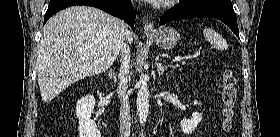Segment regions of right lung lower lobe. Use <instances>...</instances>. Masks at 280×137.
Returning <instances> with one entry per match:
<instances>
[{"label": "right lung lower lobe", "mask_w": 280, "mask_h": 137, "mask_svg": "<svg viewBox=\"0 0 280 137\" xmlns=\"http://www.w3.org/2000/svg\"><path fill=\"white\" fill-rule=\"evenodd\" d=\"M73 5H86L99 8L117 18L127 22L133 31L136 18L130 0H50L47 12L44 17L45 22L58 11Z\"/></svg>", "instance_id": "obj_1"}]
</instances>
